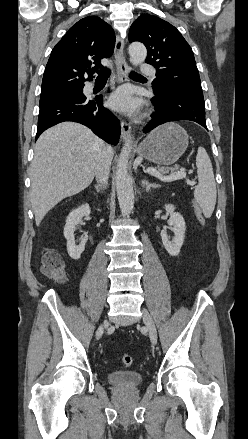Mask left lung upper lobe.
<instances>
[{"label":"left lung upper lobe","instance_id":"5c2ea615","mask_svg":"<svg viewBox=\"0 0 248 439\" xmlns=\"http://www.w3.org/2000/svg\"><path fill=\"white\" fill-rule=\"evenodd\" d=\"M142 42L147 48L146 63L156 67L155 93L176 92L203 98L193 51L180 32L163 19L140 15L131 25L129 42Z\"/></svg>","mask_w":248,"mask_h":439}]
</instances>
